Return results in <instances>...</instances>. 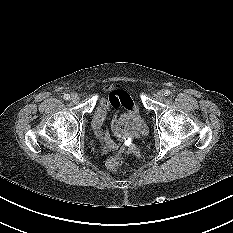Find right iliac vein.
Masks as SVG:
<instances>
[{"label":"right iliac vein","instance_id":"obj_1","mask_svg":"<svg viewBox=\"0 0 233 233\" xmlns=\"http://www.w3.org/2000/svg\"><path fill=\"white\" fill-rule=\"evenodd\" d=\"M70 100H71L72 102H74V103L79 102V100H80L79 95H78L77 93H72V94H71Z\"/></svg>","mask_w":233,"mask_h":233}]
</instances>
